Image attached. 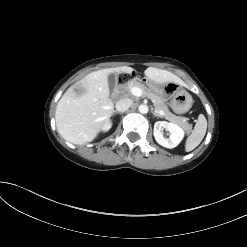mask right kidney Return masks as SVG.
I'll return each instance as SVG.
<instances>
[{
    "instance_id": "right-kidney-1",
    "label": "right kidney",
    "mask_w": 247,
    "mask_h": 247,
    "mask_svg": "<svg viewBox=\"0 0 247 247\" xmlns=\"http://www.w3.org/2000/svg\"><path fill=\"white\" fill-rule=\"evenodd\" d=\"M112 124L110 122H106L102 128L104 132L108 131L111 128Z\"/></svg>"
}]
</instances>
